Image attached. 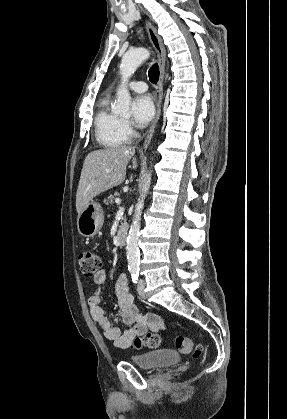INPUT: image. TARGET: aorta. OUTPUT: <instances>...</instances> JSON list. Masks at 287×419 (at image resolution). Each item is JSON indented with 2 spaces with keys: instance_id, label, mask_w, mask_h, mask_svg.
<instances>
[{
  "instance_id": "aorta-1",
  "label": "aorta",
  "mask_w": 287,
  "mask_h": 419,
  "mask_svg": "<svg viewBox=\"0 0 287 419\" xmlns=\"http://www.w3.org/2000/svg\"><path fill=\"white\" fill-rule=\"evenodd\" d=\"M150 56V53L145 48H136L127 51L121 60L120 74L122 85L117 91V103L113 107L116 114L123 116L130 115V101L131 96L125 84L129 78L134 74L140 64ZM151 184V171L146 174L145 181L142 186L140 198L136 204L133 222L131 224L129 234L127 236L126 256L128 261V268L130 271H138L140 264L139 256V235H140V221L142 209L144 207V200Z\"/></svg>"
}]
</instances>
